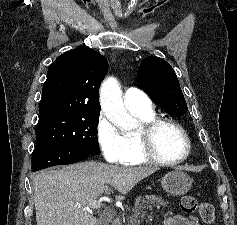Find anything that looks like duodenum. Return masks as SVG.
Returning <instances> with one entry per match:
<instances>
[{
    "instance_id": "410a0bca",
    "label": "duodenum",
    "mask_w": 237,
    "mask_h": 225,
    "mask_svg": "<svg viewBox=\"0 0 237 225\" xmlns=\"http://www.w3.org/2000/svg\"><path fill=\"white\" fill-rule=\"evenodd\" d=\"M111 225H121L119 220L112 221Z\"/></svg>"
}]
</instances>
